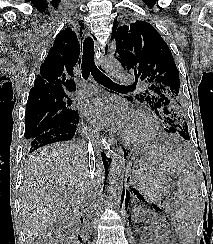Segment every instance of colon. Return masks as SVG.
<instances>
[{"label": "colon", "instance_id": "obj_1", "mask_svg": "<svg viewBox=\"0 0 213 244\" xmlns=\"http://www.w3.org/2000/svg\"><path fill=\"white\" fill-rule=\"evenodd\" d=\"M38 244H53V243H51V242L48 241V240H42V241H40Z\"/></svg>", "mask_w": 213, "mask_h": 244}]
</instances>
